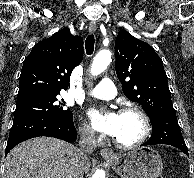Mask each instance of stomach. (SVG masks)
I'll use <instances>...</instances> for the list:
<instances>
[{"mask_svg": "<svg viewBox=\"0 0 194 178\" xmlns=\"http://www.w3.org/2000/svg\"><path fill=\"white\" fill-rule=\"evenodd\" d=\"M106 162L121 178H158L163 169L160 155L149 147L115 154Z\"/></svg>", "mask_w": 194, "mask_h": 178, "instance_id": "stomach-1", "label": "stomach"}]
</instances>
